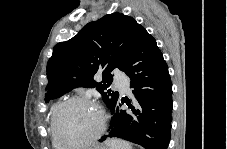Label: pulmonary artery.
<instances>
[{"label": "pulmonary artery", "mask_w": 227, "mask_h": 149, "mask_svg": "<svg viewBox=\"0 0 227 149\" xmlns=\"http://www.w3.org/2000/svg\"><path fill=\"white\" fill-rule=\"evenodd\" d=\"M114 85L116 88L120 89L125 93H128L130 91L128 81L123 75L118 74L115 76Z\"/></svg>", "instance_id": "obj_1"}]
</instances>
